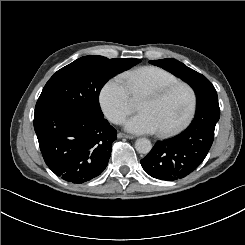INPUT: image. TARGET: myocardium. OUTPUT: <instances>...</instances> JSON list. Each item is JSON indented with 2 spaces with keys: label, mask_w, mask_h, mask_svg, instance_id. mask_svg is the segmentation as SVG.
Masks as SVG:
<instances>
[{
  "label": "myocardium",
  "mask_w": 245,
  "mask_h": 245,
  "mask_svg": "<svg viewBox=\"0 0 245 245\" xmlns=\"http://www.w3.org/2000/svg\"><path fill=\"white\" fill-rule=\"evenodd\" d=\"M179 88H184L188 92V95H189L188 111L186 115L183 117V119L179 121L173 127L168 128V129L159 130V134L161 136H170V135L177 133L183 127H185L189 123V121L192 119L194 112H195V108H196V94H195L194 89L188 83H185V82H178V83L170 84L167 86H160L158 84H153V85L147 86L139 96V98H143L146 96L155 95L156 100L161 101Z\"/></svg>",
  "instance_id": "1"
}]
</instances>
